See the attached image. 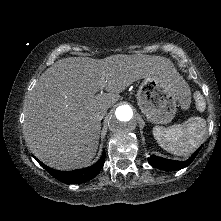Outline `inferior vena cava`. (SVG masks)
Returning a JSON list of instances; mask_svg holds the SVG:
<instances>
[{
    "label": "inferior vena cava",
    "mask_w": 221,
    "mask_h": 221,
    "mask_svg": "<svg viewBox=\"0 0 221 221\" xmlns=\"http://www.w3.org/2000/svg\"><path fill=\"white\" fill-rule=\"evenodd\" d=\"M106 109H102L101 111H99L98 113H97V115H96V118L98 119V120H102L103 119V117L105 116V114H106Z\"/></svg>",
    "instance_id": "1"
}]
</instances>
